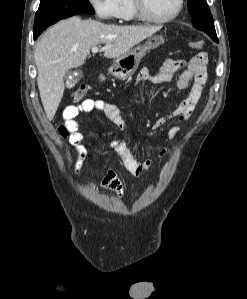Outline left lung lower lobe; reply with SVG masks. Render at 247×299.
Segmentation results:
<instances>
[{"label":"left lung lower lobe","instance_id":"obj_1","mask_svg":"<svg viewBox=\"0 0 247 299\" xmlns=\"http://www.w3.org/2000/svg\"><path fill=\"white\" fill-rule=\"evenodd\" d=\"M215 42H218V38H212Z\"/></svg>","mask_w":247,"mask_h":299}]
</instances>
